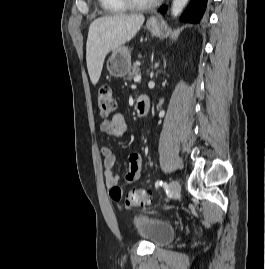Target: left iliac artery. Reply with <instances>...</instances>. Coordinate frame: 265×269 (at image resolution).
<instances>
[{
    "label": "left iliac artery",
    "mask_w": 265,
    "mask_h": 269,
    "mask_svg": "<svg viewBox=\"0 0 265 269\" xmlns=\"http://www.w3.org/2000/svg\"><path fill=\"white\" fill-rule=\"evenodd\" d=\"M163 184L166 185V183H163L162 180H158V181L155 183V187L158 188V187L162 186Z\"/></svg>",
    "instance_id": "1"
}]
</instances>
